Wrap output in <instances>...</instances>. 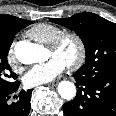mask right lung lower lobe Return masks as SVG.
Returning <instances> with one entry per match:
<instances>
[{"mask_svg":"<svg viewBox=\"0 0 116 116\" xmlns=\"http://www.w3.org/2000/svg\"><path fill=\"white\" fill-rule=\"evenodd\" d=\"M19 85L17 81L11 87L0 90V116H28L32 89L22 90L17 95ZM12 98L16 99L15 102H11Z\"/></svg>","mask_w":116,"mask_h":116,"instance_id":"right-lung-lower-lobe-1","label":"right lung lower lobe"}]
</instances>
